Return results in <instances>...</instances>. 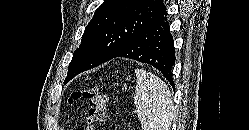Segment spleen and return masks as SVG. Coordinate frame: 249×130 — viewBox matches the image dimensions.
Wrapping results in <instances>:
<instances>
[{
	"label": "spleen",
	"mask_w": 249,
	"mask_h": 130,
	"mask_svg": "<svg viewBox=\"0 0 249 130\" xmlns=\"http://www.w3.org/2000/svg\"><path fill=\"white\" fill-rule=\"evenodd\" d=\"M134 104L142 130H170L174 104L170 90L158 76L136 69Z\"/></svg>",
	"instance_id": "obj_1"
}]
</instances>
